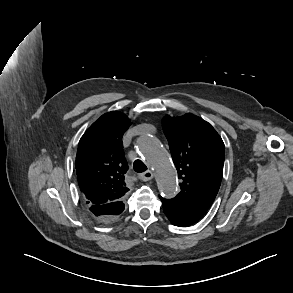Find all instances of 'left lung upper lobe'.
<instances>
[{"mask_svg":"<svg viewBox=\"0 0 293 293\" xmlns=\"http://www.w3.org/2000/svg\"><path fill=\"white\" fill-rule=\"evenodd\" d=\"M163 130L181 179L175 199L206 213L213 203L223 175L225 146L211 124L190 113L165 116Z\"/></svg>","mask_w":293,"mask_h":293,"instance_id":"obj_1","label":"left lung upper lobe"}]
</instances>
